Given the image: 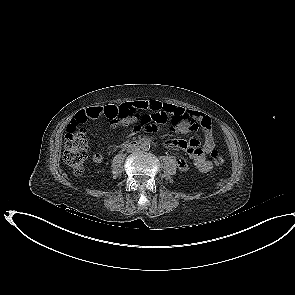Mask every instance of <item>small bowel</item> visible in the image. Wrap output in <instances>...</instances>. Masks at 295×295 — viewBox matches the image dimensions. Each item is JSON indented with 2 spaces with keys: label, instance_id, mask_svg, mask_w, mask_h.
Returning a JSON list of instances; mask_svg holds the SVG:
<instances>
[{
  "label": "small bowel",
  "instance_id": "1",
  "mask_svg": "<svg viewBox=\"0 0 295 295\" xmlns=\"http://www.w3.org/2000/svg\"><path fill=\"white\" fill-rule=\"evenodd\" d=\"M127 105L135 109L136 112L149 110L153 115L165 114V121L175 124L176 130L180 133L194 132L201 129L204 132L202 142L199 137L193 136L189 140H167L165 146L167 148H178L187 152L198 171L206 173L212 170L213 164L206 158V155L215 148V139L209 116L177 105L162 103L158 100H140ZM102 116V106L88 107L78 111L72 118L69 126H80L89 120H94ZM104 158V154L101 152H94L92 154L94 163H102ZM177 165L181 171H187L189 169V165L184 158L179 159Z\"/></svg>",
  "mask_w": 295,
  "mask_h": 295
}]
</instances>
